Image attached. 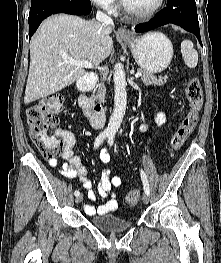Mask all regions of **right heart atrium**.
I'll return each instance as SVG.
<instances>
[{
    "label": "right heart atrium",
    "mask_w": 221,
    "mask_h": 263,
    "mask_svg": "<svg viewBox=\"0 0 221 263\" xmlns=\"http://www.w3.org/2000/svg\"><path fill=\"white\" fill-rule=\"evenodd\" d=\"M91 2L98 8L109 14L114 13L118 7L117 0H91Z\"/></svg>",
    "instance_id": "obj_1"
}]
</instances>
